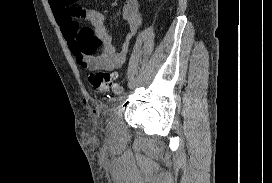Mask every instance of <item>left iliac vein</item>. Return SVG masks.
Here are the masks:
<instances>
[{
	"label": "left iliac vein",
	"instance_id": "obj_1",
	"mask_svg": "<svg viewBox=\"0 0 272 183\" xmlns=\"http://www.w3.org/2000/svg\"><path fill=\"white\" fill-rule=\"evenodd\" d=\"M124 94H120L116 99H115V102H116V105H119L122 103L123 99H124Z\"/></svg>",
	"mask_w": 272,
	"mask_h": 183
}]
</instances>
